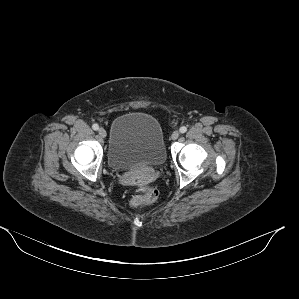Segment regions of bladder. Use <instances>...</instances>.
<instances>
[{"instance_id":"1","label":"bladder","mask_w":299,"mask_h":299,"mask_svg":"<svg viewBox=\"0 0 299 299\" xmlns=\"http://www.w3.org/2000/svg\"><path fill=\"white\" fill-rule=\"evenodd\" d=\"M107 159L110 168L116 171L162 166L166 147L158 120L142 112L117 117L111 126Z\"/></svg>"}]
</instances>
